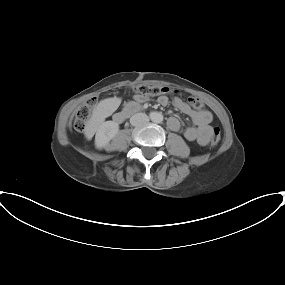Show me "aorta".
I'll return each mask as SVG.
<instances>
[{"label":"aorta","instance_id":"obj_1","mask_svg":"<svg viewBox=\"0 0 285 285\" xmlns=\"http://www.w3.org/2000/svg\"><path fill=\"white\" fill-rule=\"evenodd\" d=\"M151 120L155 123H161L163 121V115L161 112H154L151 114Z\"/></svg>","mask_w":285,"mask_h":285}]
</instances>
